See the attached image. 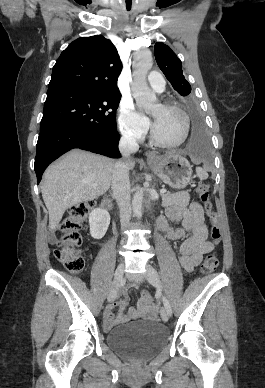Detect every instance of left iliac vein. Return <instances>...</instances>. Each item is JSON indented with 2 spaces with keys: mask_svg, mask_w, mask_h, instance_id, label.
I'll use <instances>...</instances> for the list:
<instances>
[{
  "mask_svg": "<svg viewBox=\"0 0 265 388\" xmlns=\"http://www.w3.org/2000/svg\"><path fill=\"white\" fill-rule=\"evenodd\" d=\"M146 278L147 280L154 286L156 287L159 292H162V283L160 280V277L157 273V271L149 264L146 265ZM161 318L164 322H167L169 320V314L166 310L165 307H162L161 309Z\"/></svg>",
  "mask_w": 265,
  "mask_h": 388,
  "instance_id": "left-iliac-vein-1",
  "label": "left iliac vein"
}]
</instances>
